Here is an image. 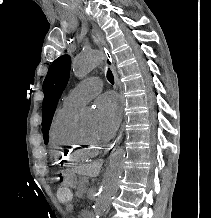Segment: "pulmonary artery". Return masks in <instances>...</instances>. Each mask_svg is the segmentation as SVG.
I'll return each instance as SVG.
<instances>
[{
	"label": "pulmonary artery",
	"mask_w": 211,
	"mask_h": 218,
	"mask_svg": "<svg viewBox=\"0 0 211 218\" xmlns=\"http://www.w3.org/2000/svg\"><path fill=\"white\" fill-rule=\"evenodd\" d=\"M103 86L96 77L88 78L73 88L63 100V106L79 109L94 97Z\"/></svg>",
	"instance_id": "e3ab8cb5"
}]
</instances>
